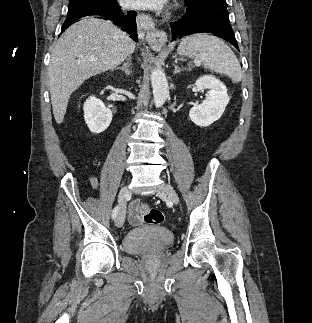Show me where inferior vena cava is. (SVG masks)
Segmentation results:
<instances>
[{
  "mask_svg": "<svg viewBox=\"0 0 312 323\" xmlns=\"http://www.w3.org/2000/svg\"><path fill=\"white\" fill-rule=\"evenodd\" d=\"M128 40H129V42H131V50H132V52H134V48H135L134 42H132V40H130V38H128Z\"/></svg>",
  "mask_w": 312,
  "mask_h": 323,
  "instance_id": "obj_1",
  "label": "inferior vena cava"
}]
</instances>
